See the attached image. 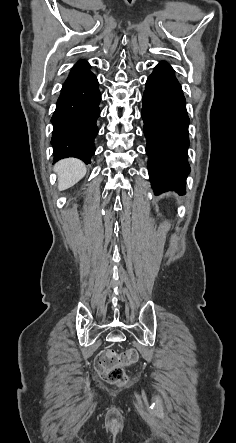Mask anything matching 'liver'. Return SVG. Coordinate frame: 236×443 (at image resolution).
I'll return each instance as SVG.
<instances>
[{"mask_svg":"<svg viewBox=\"0 0 236 443\" xmlns=\"http://www.w3.org/2000/svg\"><path fill=\"white\" fill-rule=\"evenodd\" d=\"M54 171L58 174V189L63 191L74 186L85 176L86 166L78 159L68 158L56 163Z\"/></svg>","mask_w":236,"mask_h":443,"instance_id":"liver-1","label":"liver"}]
</instances>
